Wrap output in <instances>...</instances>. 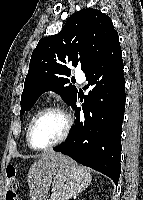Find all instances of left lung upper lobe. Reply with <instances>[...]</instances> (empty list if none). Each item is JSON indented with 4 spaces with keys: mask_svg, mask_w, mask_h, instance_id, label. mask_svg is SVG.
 Wrapping results in <instances>:
<instances>
[{
    "mask_svg": "<svg viewBox=\"0 0 143 200\" xmlns=\"http://www.w3.org/2000/svg\"><path fill=\"white\" fill-rule=\"evenodd\" d=\"M117 35L109 16L96 9H83L75 12L58 34L42 38L31 56L20 114L29 111L45 91L59 93L71 105L77 89L67 85L71 75L67 63L79 64L85 72Z\"/></svg>",
    "mask_w": 143,
    "mask_h": 200,
    "instance_id": "obj_1",
    "label": "left lung upper lobe"
}]
</instances>
